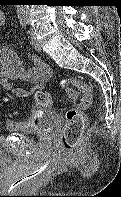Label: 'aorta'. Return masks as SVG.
I'll return each instance as SVG.
<instances>
[{"label":"aorta","instance_id":"762f6f07","mask_svg":"<svg viewBox=\"0 0 121 197\" xmlns=\"http://www.w3.org/2000/svg\"><path fill=\"white\" fill-rule=\"evenodd\" d=\"M17 15L21 20H27L29 17L28 5H17Z\"/></svg>","mask_w":121,"mask_h":197}]
</instances>
